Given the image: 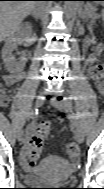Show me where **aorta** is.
Returning <instances> with one entry per match:
<instances>
[{
	"label": "aorta",
	"mask_w": 104,
	"mask_h": 189,
	"mask_svg": "<svg viewBox=\"0 0 104 189\" xmlns=\"http://www.w3.org/2000/svg\"><path fill=\"white\" fill-rule=\"evenodd\" d=\"M78 1H64V12H65V18L67 21L74 18L76 11L78 9Z\"/></svg>",
	"instance_id": "aorta-1"
}]
</instances>
